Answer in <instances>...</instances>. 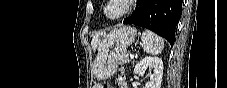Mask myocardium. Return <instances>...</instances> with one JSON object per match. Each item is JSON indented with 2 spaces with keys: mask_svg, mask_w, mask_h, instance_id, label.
I'll list each match as a JSON object with an SVG mask.
<instances>
[{
  "mask_svg": "<svg viewBox=\"0 0 227 88\" xmlns=\"http://www.w3.org/2000/svg\"><path fill=\"white\" fill-rule=\"evenodd\" d=\"M133 2L134 0H108L103 7V15L109 21L121 19L128 14ZM111 8H118V12L115 14H110L109 9Z\"/></svg>",
  "mask_w": 227,
  "mask_h": 88,
  "instance_id": "obj_1",
  "label": "myocardium"
}]
</instances>
